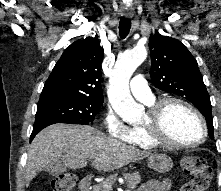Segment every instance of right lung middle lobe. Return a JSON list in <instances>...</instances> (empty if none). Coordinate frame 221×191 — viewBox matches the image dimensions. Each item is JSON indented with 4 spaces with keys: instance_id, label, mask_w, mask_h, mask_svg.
Returning a JSON list of instances; mask_svg holds the SVG:
<instances>
[{
    "instance_id": "dd1d6c3e",
    "label": "right lung middle lobe",
    "mask_w": 221,
    "mask_h": 191,
    "mask_svg": "<svg viewBox=\"0 0 221 191\" xmlns=\"http://www.w3.org/2000/svg\"><path fill=\"white\" fill-rule=\"evenodd\" d=\"M103 100L65 99L38 103L36 116L52 118L56 123L88 124L93 122Z\"/></svg>"
}]
</instances>
